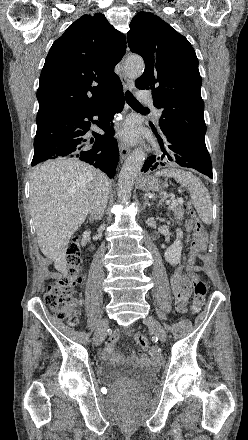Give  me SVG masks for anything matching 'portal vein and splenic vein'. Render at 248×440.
Masks as SVG:
<instances>
[{
  "label": "portal vein and splenic vein",
  "instance_id": "portal-vein-and-splenic-vein-1",
  "mask_svg": "<svg viewBox=\"0 0 248 440\" xmlns=\"http://www.w3.org/2000/svg\"><path fill=\"white\" fill-rule=\"evenodd\" d=\"M178 205V201L173 199L171 202H169V208L173 207V206H177Z\"/></svg>",
  "mask_w": 248,
  "mask_h": 440
}]
</instances>
